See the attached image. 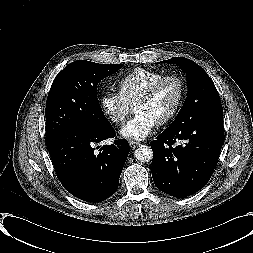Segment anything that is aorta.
I'll use <instances>...</instances> for the list:
<instances>
[{
	"mask_svg": "<svg viewBox=\"0 0 253 253\" xmlns=\"http://www.w3.org/2000/svg\"><path fill=\"white\" fill-rule=\"evenodd\" d=\"M134 155L138 161L148 162L152 159L153 152L150 147L141 145L135 150Z\"/></svg>",
	"mask_w": 253,
	"mask_h": 253,
	"instance_id": "762f6f07",
	"label": "aorta"
}]
</instances>
